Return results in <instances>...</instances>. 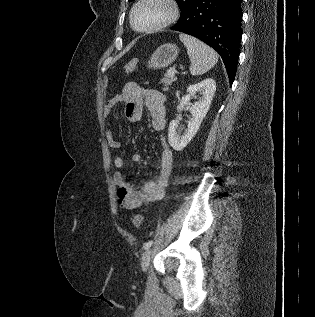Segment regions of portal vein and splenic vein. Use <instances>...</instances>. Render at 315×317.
I'll list each match as a JSON object with an SVG mask.
<instances>
[{
  "label": "portal vein and splenic vein",
  "instance_id": "portal-vein-and-splenic-vein-1",
  "mask_svg": "<svg viewBox=\"0 0 315 317\" xmlns=\"http://www.w3.org/2000/svg\"><path fill=\"white\" fill-rule=\"evenodd\" d=\"M168 72H169L170 76H172V77H174L175 74L178 73L176 70H169Z\"/></svg>",
  "mask_w": 315,
  "mask_h": 317
}]
</instances>
